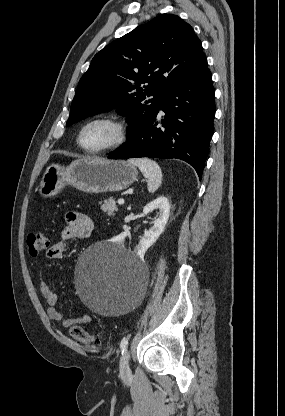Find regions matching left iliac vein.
<instances>
[{"mask_svg": "<svg viewBox=\"0 0 285 416\" xmlns=\"http://www.w3.org/2000/svg\"><path fill=\"white\" fill-rule=\"evenodd\" d=\"M120 374L122 375V377H127L130 374L128 351L124 352L122 357L120 358Z\"/></svg>", "mask_w": 285, "mask_h": 416, "instance_id": "1", "label": "left iliac vein"}]
</instances>
